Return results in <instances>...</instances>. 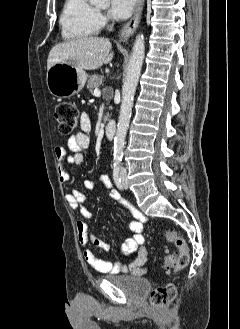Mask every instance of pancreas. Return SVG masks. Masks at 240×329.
Instances as JSON below:
<instances>
[{
	"label": "pancreas",
	"mask_w": 240,
	"mask_h": 329,
	"mask_svg": "<svg viewBox=\"0 0 240 329\" xmlns=\"http://www.w3.org/2000/svg\"><path fill=\"white\" fill-rule=\"evenodd\" d=\"M102 81H103V76L92 75L88 81L87 89L91 92L94 88H97L100 84H102ZM108 116H109L108 114L105 116V120H107Z\"/></svg>",
	"instance_id": "pancreas-1"
}]
</instances>
